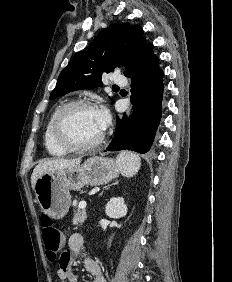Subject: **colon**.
Listing matches in <instances>:
<instances>
[{
  "label": "colon",
  "instance_id": "obj_1",
  "mask_svg": "<svg viewBox=\"0 0 232 282\" xmlns=\"http://www.w3.org/2000/svg\"><path fill=\"white\" fill-rule=\"evenodd\" d=\"M41 223L46 256L50 261H55L62 247V234L48 216H42Z\"/></svg>",
  "mask_w": 232,
  "mask_h": 282
}]
</instances>
